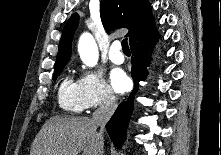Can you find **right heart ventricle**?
<instances>
[{"mask_svg": "<svg viewBox=\"0 0 221 155\" xmlns=\"http://www.w3.org/2000/svg\"><path fill=\"white\" fill-rule=\"evenodd\" d=\"M58 102L62 109L68 112L79 113L85 107L81 100L79 82L66 76L58 90Z\"/></svg>", "mask_w": 221, "mask_h": 155, "instance_id": "1", "label": "right heart ventricle"}]
</instances>
